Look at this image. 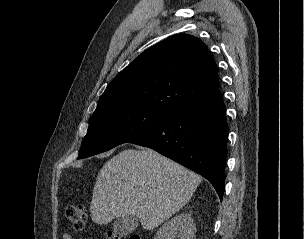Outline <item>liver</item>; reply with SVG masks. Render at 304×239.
<instances>
[{"label": "liver", "mask_w": 304, "mask_h": 239, "mask_svg": "<svg viewBox=\"0 0 304 239\" xmlns=\"http://www.w3.org/2000/svg\"><path fill=\"white\" fill-rule=\"evenodd\" d=\"M201 176L152 149H126L98 173L90 206L91 218L106 225L122 216L139 218L152 230L192 197Z\"/></svg>", "instance_id": "liver-1"}]
</instances>
